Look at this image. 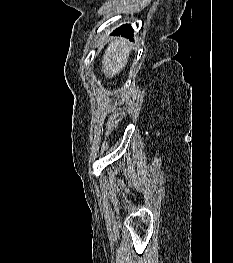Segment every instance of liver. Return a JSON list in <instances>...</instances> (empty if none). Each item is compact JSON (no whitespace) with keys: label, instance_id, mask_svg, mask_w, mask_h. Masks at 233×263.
Returning <instances> with one entry per match:
<instances>
[{"label":"liver","instance_id":"1","mask_svg":"<svg viewBox=\"0 0 233 263\" xmlns=\"http://www.w3.org/2000/svg\"><path fill=\"white\" fill-rule=\"evenodd\" d=\"M131 49V44L126 39L111 40L102 59L101 71L106 78H113L125 68Z\"/></svg>","mask_w":233,"mask_h":263}]
</instances>
